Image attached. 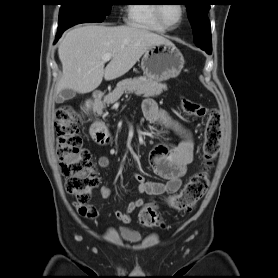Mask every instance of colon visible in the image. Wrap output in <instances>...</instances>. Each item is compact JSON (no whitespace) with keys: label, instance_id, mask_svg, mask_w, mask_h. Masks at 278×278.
Listing matches in <instances>:
<instances>
[{"label":"colon","instance_id":"colon-1","mask_svg":"<svg viewBox=\"0 0 278 278\" xmlns=\"http://www.w3.org/2000/svg\"><path fill=\"white\" fill-rule=\"evenodd\" d=\"M183 111L190 116L206 118L202 157L204 168L193 175L184 188L169 198V205L177 211L193 210L204 196L209 185V168L218 155L222 136L221 115L217 109L208 108L189 99L181 102ZM82 115L70 105L59 107L55 112L57 134V156L65 189L73 195L78 204H86L91 190L98 184V176L91 153L83 148L79 134ZM139 221L146 227L164 225L159 211L154 206L144 207Z\"/></svg>","mask_w":278,"mask_h":278}]
</instances>
